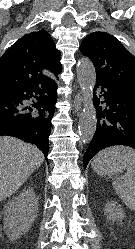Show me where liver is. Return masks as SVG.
Segmentation results:
<instances>
[{
    "instance_id": "obj_1",
    "label": "liver",
    "mask_w": 135,
    "mask_h": 249,
    "mask_svg": "<svg viewBox=\"0 0 135 249\" xmlns=\"http://www.w3.org/2000/svg\"><path fill=\"white\" fill-rule=\"evenodd\" d=\"M43 161L35 145L0 136V201L16 192Z\"/></svg>"
}]
</instances>
